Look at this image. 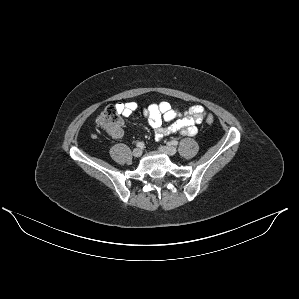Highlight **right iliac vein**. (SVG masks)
<instances>
[{"mask_svg":"<svg viewBox=\"0 0 299 299\" xmlns=\"http://www.w3.org/2000/svg\"><path fill=\"white\" fill-rule=\"evenodd\" d=\"M132 154L134 157H140L142 155V150L140 148H135Z\"/></svg>","mask_w":299,"mask_h":299,"instance_id":"63e3f726","label":"right iliac vein"}]
</instances>
